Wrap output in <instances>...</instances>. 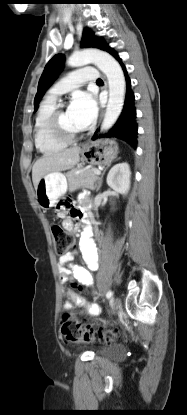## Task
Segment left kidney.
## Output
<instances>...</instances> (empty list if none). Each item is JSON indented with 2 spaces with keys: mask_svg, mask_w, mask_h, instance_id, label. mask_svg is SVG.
Here are the masks:
<instances>
[{
  "mask_svg": "<svg viewBox=\"0 0 187 415\" xmlns=\"http://www.w3.org/2000/svg\"><path fill=\"white\" fill-rule=\"evenodd\" d=\"M130 177L131 172L128 163H118L110 169L106 182L116 193L126 195L130 188Z\"/></svg>",
  "mask_w": 187,
  "mask_h": 415,
  "instance_id": "obj_1",
  "label": "left kidney"
}]
</instances>
